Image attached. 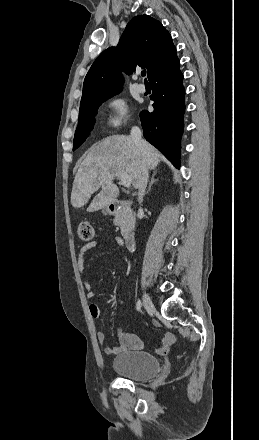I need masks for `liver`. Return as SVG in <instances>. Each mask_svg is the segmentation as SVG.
Listing matches in <instances>:
<instances>
[{"instance_id":"obj_1","label":"liver","mask_w":259,"mask_h":440,"mask_svg":"<svg viewBox=\"0 0 259 440\" xmlns=\"http://www.w3.org/2000/svg\"><path fill=\"white\" fill-rule=\"evenodd\" d=\"M142 142L143 150H139L130 136L114 135L93 147L75 175L71 193L72 206L83 207L91 195L101 188L88 211L106 208L119 195V189L113 183L119 173L130 175L133 187L137 189L142 166L154 170L160 162L159 151L147 141Z\"/></svg>"}]
</instances>
